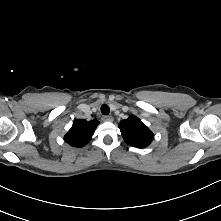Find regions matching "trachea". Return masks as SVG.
I'll return each instance as SVG.
<instances>
[{
    "instance_id": "1",
    "label": "trachea",
    "mask_w": 221,
    "mask_h": 221,
    "mask_svg": "<svg viewBox=\"0 0 221 221\" xmlns=\"http://www.w3.org/2000/svg\"><path fill=\"white\" fill-rule=\"evenodd\" d=\"M110 112L109 106L107 104H103L101 106V113L104 115H108Z\"/></svg>"
}]
</instances>
